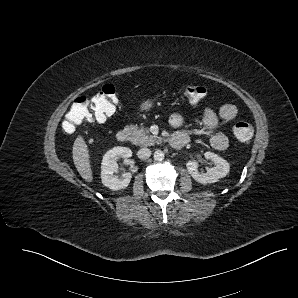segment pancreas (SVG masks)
Here are the masks:
<instances>
[{
    "label": "pancreas",
    "instance_id": "pancreas-1",
    "mask_svg": "<svg viewBox=\"0 0 298 298\" xmlns=\"http://www.w3.org/2000/svg\"><path fill=\"white\" fill-rule=\"evenodd\" d=\"M129 129L132 131L133 144L142 146H152L162 140L161 137H157L149 134V129L137 125H130Z\"/></svg>",
    "mask_w": 298,
    "mask_h": 298
}]
</instances>
